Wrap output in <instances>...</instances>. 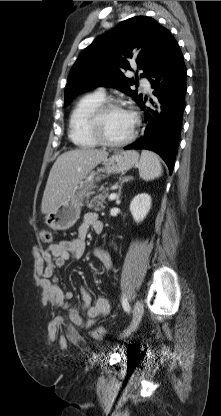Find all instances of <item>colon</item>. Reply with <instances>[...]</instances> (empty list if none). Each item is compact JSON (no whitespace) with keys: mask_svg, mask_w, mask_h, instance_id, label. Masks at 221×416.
<instances>
[{"mask_svg":"<svg viewBox=\"0 0 221 416\" xmlns=\"http://www.w3.org/2000/svg\"><path fill=\"white\" fill-rule=\"evenodd\" d=\"M41 239L44 243H51L52 242V233L51 231L44 229L41 233ZM91 336L97 340H102L106 337L107 331L104 328H97L93 330L91 333Z\"/></svg>","mask_w":221,"mask_h":416,"instance_id":"5ec220e1","label":"colon"}]
</instances>
